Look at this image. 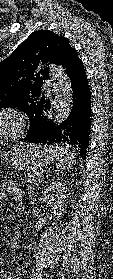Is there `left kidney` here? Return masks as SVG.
I'll use <instances>...</instances> for the list:
<instances>
[{
	"mask_svg": "<svg viewBox=\"0 0 113 279\" xmlns=\"http://www.w3.org/2000/svg\"><path fill=\"white\" fill-rule=\"evenodd\" d=\"M67 190L62 182H52L43 192V201L53 209L56 216H61L65 208Z\"/></svg>",
	"mask_w": 113,
	"mask_h": 279,
	"instance_id": "obj_1",
	"label": "left kidney"
}]
</instances>
